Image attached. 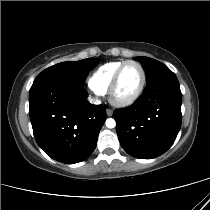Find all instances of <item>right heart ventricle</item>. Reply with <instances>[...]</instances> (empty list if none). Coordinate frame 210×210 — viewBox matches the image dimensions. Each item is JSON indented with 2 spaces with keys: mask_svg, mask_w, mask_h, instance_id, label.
I'll list each match as a JSON object with an SVG mask.
<instances>
[{
  "mask_svg": "<svg viewBox=\"0 0 210 210\" xmlns=\"http://www.w3.org/2000/svg\"><path fill=\"white\" fill-rule=\"evenodd\" d=\"M123 62L110 61L98 67L89 78L91 89L99 94H106L116 70Z\"/></svg>",
  "mask_w": 210,
  "mask_h": 210,
  "instance_id": "right-heart-ventricle-1",
  "label": "right heart ventricle"
}]
</instances>
